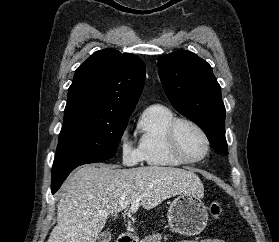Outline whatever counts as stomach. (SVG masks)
Instances as JSON below:
<instances>
[{
  "mask_svg": "<svg viewBox=\"0 0 279 242\" xmlns=\"http://www.w3.org/2000/svg\"><path fill=\"white\" fill-rule=\"evenodd\" d=\"M167 219L172 231L184 236H195L207 225V208L198 196L180 194L170 204Z\"/></svg>",
  "mask_w": 279,
  "mask_h": 242,
  "instance_id": "obj_1",
  "label": "stomach"
}]
</instances>
